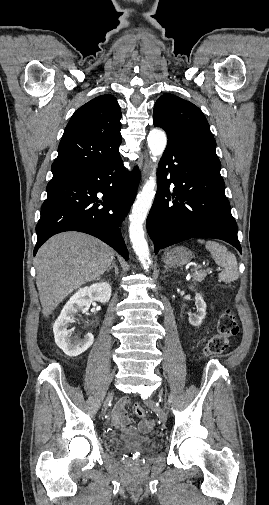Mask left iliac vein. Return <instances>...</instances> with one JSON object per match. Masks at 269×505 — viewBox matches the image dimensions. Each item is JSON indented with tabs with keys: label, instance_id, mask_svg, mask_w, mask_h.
I'll use <instances>...</instances> for the list:
<instances>
[{
	"label": "left iliac vein",
	"instance_id": "left-iliac-vein-1",
	"mask_svg": "<svg viewBox=\"0 0 269 505\" xmlns=\"http://www.w3.org/2000/svg\"><path fill=\"white\" fill-rule=\"evenodd\" d=\"M144 407L149 409L151 412H156L159 420L165 424L167 420L166 412L162 408H158V405L153 400H146L144 402Z\"/></svg>",
	"mask_w": 269,
	"mask_h": 505
}]
</instances>
